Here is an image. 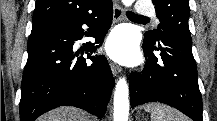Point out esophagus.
Segmentation results:
<instances>
[{
  "label": "esophagus",
  "mask_w": 217,
  "mask_h": 121,
  "mask_svg": "<svg viewBox=\"0 0 217 121\" xmlns=\"http://www.w3.org/2000/svg\"><path fill=\"white\" fill-rule=\"evenodd\" d=\"M124 16V11L122 6L119 4L117 0H114L113 2V23L117 24L122 20ZM110 68L114 76H117L120 72V68L118 65H116L113 62H110Z\"/></svg>",
  "instance_id": "esophagus-1"
}]
</instances>
